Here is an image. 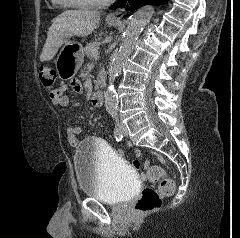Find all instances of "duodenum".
Listing matches in <instances>:
<instances>
[{
  "mask_svg": "<svg viewBox=\"0 0 240 238\" xmlns=\"http://www.w3.org/2000/svg\"><path fill=\"white\" fill-rule=\"evenodd\" d=\"M93 104L96 106H100L104 102V91L102 88H99L93 95L92 98Z\"/></svg>",
  "mask_w": 240,
  "mask_h": 238,
  "instance_id": "410a0bca",
  "label": "duodenum"
}]
</instances>
